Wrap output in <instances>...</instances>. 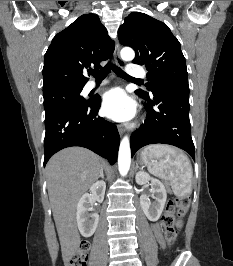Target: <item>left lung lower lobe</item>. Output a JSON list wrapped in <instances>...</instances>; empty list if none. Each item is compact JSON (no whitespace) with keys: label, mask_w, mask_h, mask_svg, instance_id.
Returning a JSON list of instances; mask_svg holds the SVG:
<instances>
[{"label":"left lung lower lobe","mask_w":233,"mask_h":266,"mask_svg":"<svg viewBox=\"0 0 233 266\" xmlns=\"http://www.w3.org/2000/svg\"><path fill=\"white\" fill-rule=\"evenodd\" d=\"M136 93L147 101V117L144 124L131 135L132 156L143 146L162 143L185 150L195 160L189 120L188 84L166 85L152 92L153 100L147 95Z\"/></svg>","instance_id":"0a47b994"}]
</instances>
